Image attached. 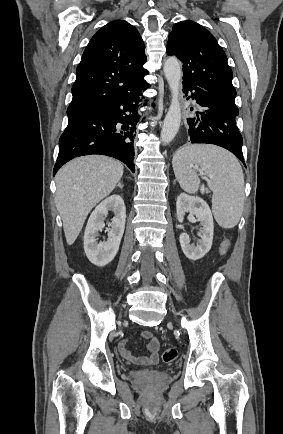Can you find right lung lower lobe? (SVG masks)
Masks as SVG:
<instances>
[{"label":"right lung lower lobe","mask_w":283,"mask_h":434,"mask_svg":"<svg viewBox=\"0 0 283 434\" xmlns=\"http://www.w3.org/2000/svg\"><path fill=\"white\" fill-rule=\"evenodd\" d=\"M147 87L148 83L143 80L128 94L69 117L59 139V154L53 174L69 160L90 154L119 159L134 172L133 142L140 117V92Z\"/></svg>","instance_id":"right-lung-lower-lobe-1"}]
</instances>
